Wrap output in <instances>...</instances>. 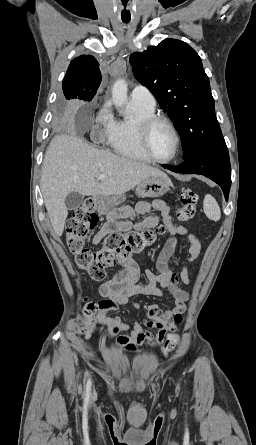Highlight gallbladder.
<instances>
[{"mask_svg":"<svg viewBox=\"0 0 256 445\" xmlns=\"http://www.w3.org/2000/svg\"><path fill=\"white\" fill-rule=\"evenodd\" d=\"M84 196L78 192H71L65 198V205L68 210H74L83 203Z\"/></svg>","mask_w":256,"mask_h":445,"instance_id":"bac80fb5","label":"gallbladder"}]
</instances>
